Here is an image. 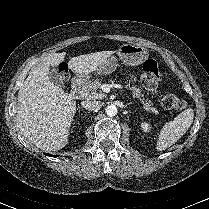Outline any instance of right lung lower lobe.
I'll return each mask as SVG.
<instances>
[{"mask_svg":"<svg viewBox=\"0 0 209 209\" xmlns=\"http://www.w3.org/2000/svg\"><path fill=\"white\" fill-rule=\"evenodd\" d=\"M46 155L55 157V155H50V154H46Z\"/></svg>","mask_w":209,"mask_h":209,"instance_id":"98d812e1","label":"right lung lower lobe"}]
</instances>
